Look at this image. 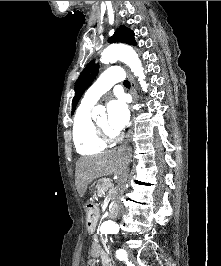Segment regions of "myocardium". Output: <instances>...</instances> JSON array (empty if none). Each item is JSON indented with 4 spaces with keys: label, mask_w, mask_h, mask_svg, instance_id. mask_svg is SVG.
Segmentation results:
<instances>
[{
    "label": "myocardium",
    "mask_w": 221,
    "mask_h": 266,
    "mask_svg": "<svg viewBox=\"0 0 221 266\" xmlns=\"http://www.w3.org/2000/svg\"><path fill=\"white\" fill-rule=\"evenodd\" d=\"M94 124H95V127L99 133L100 138L103 141H105L106 143L114 142V141L118 140V138L120 137L119 132L110 131L108 129H105V128L101 127L97 122Z\"/></svg>",
    "instance_id": "f54148a6"
}]
</instances>
